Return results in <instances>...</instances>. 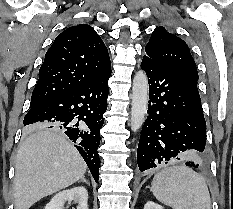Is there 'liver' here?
<instances>
[{
	"label": "liver",
	"instance_id": "obj_1",
	"mask_svg": "<svg viewBox=\"0 0 233 209\" xmlns=\"http://www.w3.org/2000/svg\"><path fill=\"white\" fill-rule=\"evenodd\" d=\"M18 149L15 209H29L40 199L80 180L87 165L63 132L37 127Z\"/></svg>",
	"mask_w": 233,
	"mask_h": 209
}]
</instances>
